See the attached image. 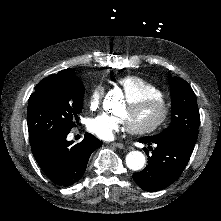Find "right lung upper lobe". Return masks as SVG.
<instances>
[{
  "mask_svg": "<svg viewBox=\"0 0 221 221\" xmlns=\"http://www.w3.org/2000/svg\"><path fill=\"white\" fill-rule=\"evenodd\" d=\"M66 70H72L71 68H69V69H66Z\"/></svg>",
  "mask_w": 221,
  "mask_h": 221,
  "instance_id": "obj_1",
  "label": "right lung upper lobe"
}]
</instances>
